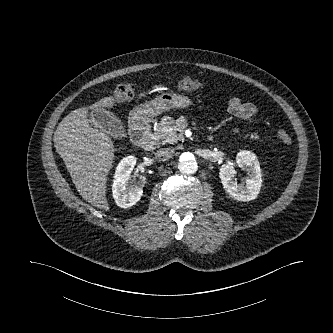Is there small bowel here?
<instances>
[{"label":"small bowel","instance_id":"1","mask_svg":"<svg viewBox=\"0 0 333 333\" xmlns=\"http://www.w3.org/2000/svg\"><path fill=\"white\" fill-rule=\"evenodd\" d=\"M229 111L234 116L245 120H251L256 115V107L253 104L242 102L237 98L229 100Z\"/></svg>","mask_w":333,"mask_h":333}]
</instances>
